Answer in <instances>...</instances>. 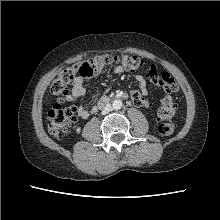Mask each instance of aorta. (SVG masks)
I'll list each match as a JSON object with an SVG mask.
<instances>
[{
    "instance_id": "762f6f07",
    "label": "aorta",
    "mask_w": 220,
    "mask_h": 220,
    "mask_svg": "<svg viewBox=\"0 0 220 220\" xmlns=\"http://www.w3.org/2000/svg\"><path fill=\"white\" fill-rule=\"evenodd\" d=\"M112 107L115 110H119L122 108V101L121 100H114L112 103Z\"/></svg>"
}]
</instances>
